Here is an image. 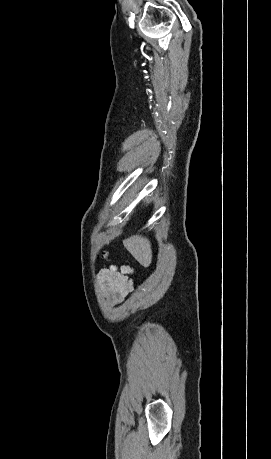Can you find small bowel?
Wrapping results in <instances>:
<instances>
[{"label":"small bowel","mask_w":271,"mask_h":459,"mask_svg":"<svg viewBox=\"0 0 271 459\" xmlns=\"http://www.w3.org/2000/svg\"><path fill=\"white\" fill-rule=\"evenodd\" d=\"M128 268H103L98 274V285L108 302L112 305L120 304L132 290L133 284Z\"/></svg>","instance_id":"1"}]
</instances>
